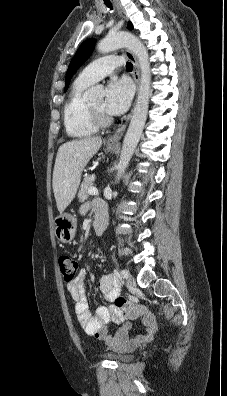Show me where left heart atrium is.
Listing matches in <instances>:
<instances>
[{
    "label": "left heart atrium",
    "instance_id": "1",
    "mask_svg": "<svg viewBox=\"0 0 227 396\" xmlns=\"http://www.w3.org/2000/svg\"><path fill=\"white\" fill-rule=\"evenodd\" d=\"M133 88L126 79H112L106 90L103 109L110 115L124 113L130 105Z\"/></svg>",
    "mask_w": 227,
    "mask_h": 396
}]
</instances>
